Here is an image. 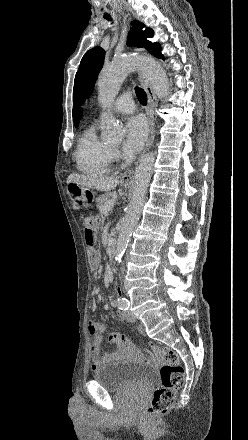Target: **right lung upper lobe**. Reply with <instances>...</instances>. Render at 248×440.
I'll return each instance as SVG.
<instances>
[{"label": "right lung upper lobe", "instance_id": "right-lung-upper-lobe-1", "mask_svg": "<svg viewBox=\"0 0 248 440\" xmlns=\"http://www.w3.org/2000/svg\"><path fill=\"white\" fill-rule=\"evenodd\" d=\"M81 117H82L81 109H80L79 105L77 104V102H74V104H73V120H74L75 127H78L79 120L81 119Z\"/></svg>", "mask_w": 248, "mask_h": 440}]
</instances>
